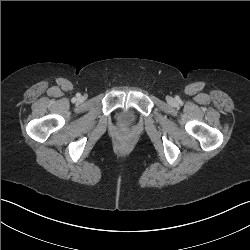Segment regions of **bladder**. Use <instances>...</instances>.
I'll return each mask as SVG.
<instances>
[{
    "label": "bladder",
    "mask_w": 250,
    "mask_h": 250,
    "mask_svg": "<svg viewBox=\"0 0 250 250\" xmlns=\"http://www.w3.org/2000/svg\"><path fill=\"white\" fill-rule=\"evenodd\" d=\"M120 118L123 123H130L133 118V114L130 111H121Z\"/></svg>",
    "instance_id": "1"
}]
</instances>
